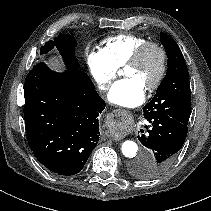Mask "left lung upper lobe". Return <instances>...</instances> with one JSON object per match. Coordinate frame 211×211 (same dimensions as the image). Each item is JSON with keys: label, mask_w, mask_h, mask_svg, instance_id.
I'll use <instances>...</instances> for the list:
<instances>
[{"label": "left lung upper lobe", "mask_w": 211, "mask_h": 211, "mask_svg": "<svg viewBox=\"0 0 211 211\" xmlns=\"http://www.w3.org/2000/svg\"><path fill=\"white\" fill-rule=\"evenodd\" d=\"M160 41L166 50L168 68L155 96L143 108L144 117L167 116L187 125L191 109L189 72L176 41L162 32ZM131 171L139 177L132 167Z\"/></svg>", "instance_id": "5c2ea615"}]
</instances>
